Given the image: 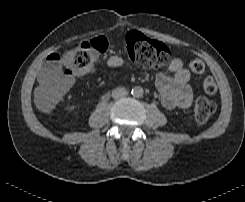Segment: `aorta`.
<instances>
[{
    "label": "aorta",
    "instance_id": "1",
    "mask_svg": "<svg viewBox=\"0 0 245 202\" xmlns=\"http://www.w3.org/2000/svg\"><path fill=\"white\" fill-rule=\"evenodd\" d=\"M143 88L140 86H135L132 88L131 94L133 97L139 98L143 96Z\"/></svg>",
    "mask_w": 245,
    "mask_h": 202
}]
</instances>
